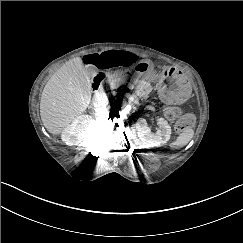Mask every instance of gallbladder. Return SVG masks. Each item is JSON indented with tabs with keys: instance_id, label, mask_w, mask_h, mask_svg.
I'll return each mask as SVG.
<instances>
[{
	"instance_id": "bac80fb5",
	"label": "gallbladder",
	"mask_w": 243,
	"mask_h": 243,
	"mask_svg": "<svg viewBox=\"0 0 243 243\" xmlns=\"http://www.w3.org/2000/svg\"><path fill=\"white\" fill-rule=\"evenodd\" d=\"M85 70L88 74H95L96 73V68L92 65H87L85 67Z\"/></svg>"
}]
</instances>
